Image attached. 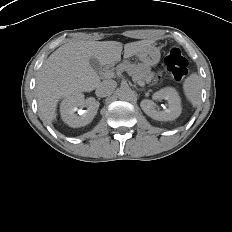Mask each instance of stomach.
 <instances>
[{
  "instance_id": "obj_1",
  "label": "stomach",
  "mask_w": 232,
  "mask_h": 232,
  "mask_svg": "<svg viewBox=\"0 0 232 232\" xmlns=\"http://www.w3.org/2000/svg\"><path fill=\"white\" fill-rule=\"evenodd\" d=\"M140 61L147 66H154L160 61V51L157 47L150 45L137 54Z\"/></svg>"
}]
</instances>
